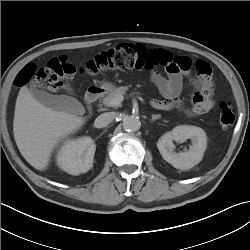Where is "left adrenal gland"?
Returning <instances> with one entry per match:
<instances>
[{
	"mask_svg": "<svg viewBox=\"0 0 250 250\" xmlns=\"http://www.w3.org/2000/svg\"><path fill=\"white\" fill-rule=\"evenodd\" d=\"M161 118V115H152V118H151V121H155L157 119H160Z\"/></svg>",
	"mask_w": 250,
	"mask_h": 250,
	"instance_id": "1",
	"label": "left adrenal gland"
}]
</instances>
